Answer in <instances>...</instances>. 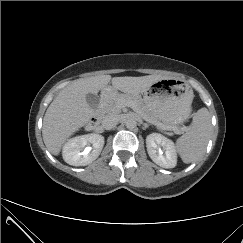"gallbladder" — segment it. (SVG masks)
I'll list each match as a JSON object with an SVG mask.
<instances>
[{
  "instance_id": "gallbladder-1",
  "label": "gallbladder",
  "mask_w": 243,
  "mask_h": 243,
  "mask_svg": "<svg viewBox=\"0 0 243 243\" xmlns=\"http://www.w3.org/2000/svg\"><path fill=\"white\" fill-rule=\"evenodd\" d=\"M86 101L91 108L96 109L99 105V96L97 94L88 93L86 95Z\"/></svg>"
}]
</instances>
